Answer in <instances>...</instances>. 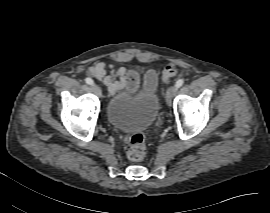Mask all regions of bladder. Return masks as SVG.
<instances>
[{
  "instance_id": "31cf9c89",
  "label": "bladder",
  "mask_w": 270,
  "mask_h": 213,
  "mask_svg": "<svg viewBox=\"0 0 270 213\" xmlns=\"http://www.w3.org/2000/svg\"><path fill=\"white\" fill-rule=\"evenodd\" d=\"M159 113V98L155 91L132 94L122 90L105 105L107 121L115 128L128 132H143L155 124Z\"/></svg>"
}]
</instances>
